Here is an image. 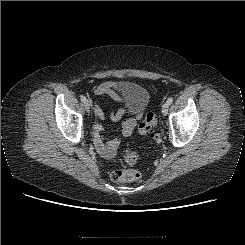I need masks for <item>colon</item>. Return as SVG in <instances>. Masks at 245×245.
Returning a JSON list of instances; mask_svg holds the SVG:
<instances>
[{"instance_id":"1","label":"colon","mask_w":245,"mask_h":245,"mask_svg":"<svg viewBox=\"0 0 245 245\" xmlns=\"http://www.w3.org/2000/svg\"><path fill=\"white\" fill-rule=\"evenodd\" d=\"M157 123L153 113H147L145 119L139 124L138 131L141 135L148 136L156 141L159 136L153 132V128ZM127 163L133 164L137 161L138 155L134 150L127 149L124 154ZM111 178L115 182H132L141 178V173L137 170L116 169L111 173Z\"/></svg>"}]
</instances>
